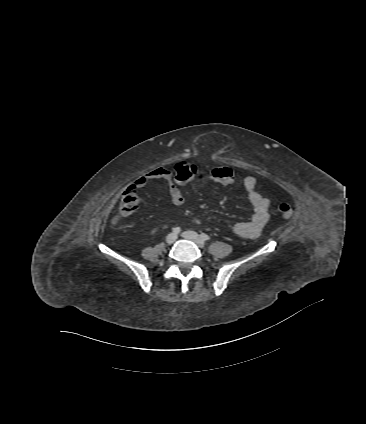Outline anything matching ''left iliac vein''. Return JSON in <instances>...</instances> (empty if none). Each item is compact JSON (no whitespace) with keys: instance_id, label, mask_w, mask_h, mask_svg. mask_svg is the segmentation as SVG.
<instances>
[{"instance_id":"obj_1","label":"left iliac vein","mask_w":366,"mask_h":424,"mask_svg":"<svg viewBox=\"0 0 366 424\" xmlns=\"http://www.w3.org/2000/svg\"><path fill=\"white\" fill-rule=\"evenodd\" d=\"M182 237L193 241L198 247L203 248L205 246L204 240L194 231H185L182 233Z\"/></svg>"}]
</instances>
